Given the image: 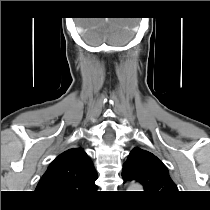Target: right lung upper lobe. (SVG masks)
<instances>
[{
	"mask_svg": "<svg viewBox=\"0 0 210 210\" xmlns=\"http://www.w3.org/2000/svg\"><path fill=\"white\" fill-rule=\"evenodd\" d=\"M97 173L81 148L69 149L56 157L41 177L36 192L55 201L85 198L96 189Z\"/></svg>",
	"mask_w": 210,
	"mask_h": 210,
	"instance_id": "right-lung-upper-lobe-1",
	"label": "right lung upper lobe"
}]
</instances>
